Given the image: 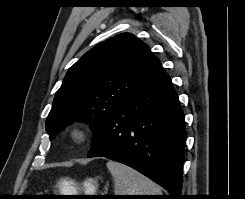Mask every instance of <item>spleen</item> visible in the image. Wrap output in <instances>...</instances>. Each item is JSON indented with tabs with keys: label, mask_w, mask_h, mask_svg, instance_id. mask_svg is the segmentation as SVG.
Instances as JSON below:
<instances>
[{
	"label": "spleen",
	"mask_w": 245,
	"mask_h": 199,
	"mask_svg": "<svg viewBox=\"0 0 245 199\" xmlns=\"http://www.w3.org/2000/svg\"><path fill=\"white\" fill-rule=\"evenodd\" d=\"M106 166L114 180L115 195H162L157 184L136 170L114 161Z\"/></svg>",
	"instance_id": "1"
}]
</instances>
